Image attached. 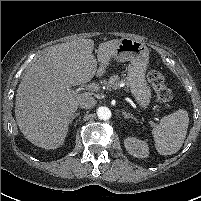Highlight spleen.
<instances>
[{
    "mask_svg": "<svg viewBox=\"0 0 201 201\" xmlns=\"http://www.w3.org/2000/svg\"><path fill=\"white\" fill-rule=\"evenodd\" d=\"M189 124L188 112L177 110L164 116L152 130L155 147L161 155L176 153L182 146Z\"/></svg>",
    "mask_w": 201,
    "mask_h": 201,
    "instance_id": "3e777b00",
    "label": "spleen"
}]
</instances>
